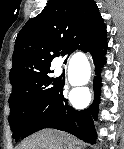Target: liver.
I'll return each instance as SVG.
<instances>
[{
    "label": "liver",
    "mask_w": 124,
    "mask_h": 149,
    "mask_svg": "<svg viewBox=\"0 0 124 149\" xmlns=\"http://www.w3.org/2000/svg\"><path fill=\"white\" fill-rule=\"evenodd\" d=\"M77 145L79 142L69 134L43 130L26 139L19 149H79Z\"/></svg>",
    "instance_id": "obj_1"
}]
</instances>
